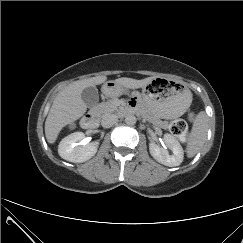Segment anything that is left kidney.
Segmentation results:
<instances>
[{"mask_svg":"<svg viewBox=\"0 0 243 243\" xmlns=\"http://www.w3.org/2000/svg\"><path fill=\"white\" fill-rule=\"evenodd\" d=\"M163 140L166 147L170 149L172 153L170 154L166 148L160 147L155 142H151L149 144L151 156L165 166H179L184 157L183 148L179 141L171 134H165Z\"/></svg>","mask_w":243,"mask_h":243,"instance_id":"1","label":"left kidney"}]
</instances>
